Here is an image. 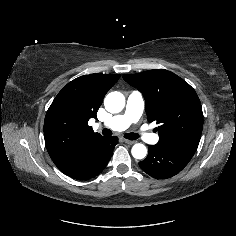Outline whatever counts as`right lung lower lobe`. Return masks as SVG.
<instances>
[{"label":"right lung lower lobe","mask_w":236,"mask_h":236,"mask_svg":"<svg viewBox=\"0 0 236 236\" xmlns=\"http://www.w3.org/2000/svg\"><path fill=\"white\" fill-rule=\"evenodd\" d=\"M117 143L116 136L101 137L73 164L61 171L76 180L91 179L106 167Z\"/></svg>","instance_id":"98d812e1"}]
</instances>
